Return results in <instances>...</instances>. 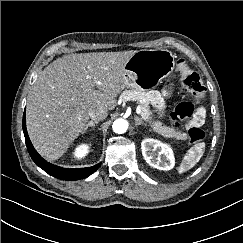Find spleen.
I'll return each mask as SVG.
<instances>
[{
	"label": "spleen",
	"mask_w": 243,
	"mask_h": 243,
	"mask_svg": "<svg viewBox=\"0 0 243 243\" xmlns=\"http://www.w3.org/2000/svg\"><path fill=\"white\" fill-rule=\"evenodd\" d=\"M205 151V143L200 142L192 146L185 154L180 166L178 167V172L181 174L196 165L201 159Z\"/></svg>",
	"instance_id": "spleen-1"
}]
</instances>
